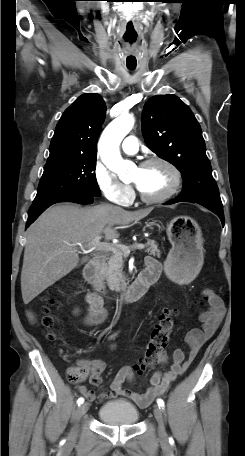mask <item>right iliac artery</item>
I'll return each mask as SVG.
<instances>
[{
  "instance_id": "82829eb1",
  "label": "right iliac artery",
  "mask_w": 245,
  "mask_h": 456,
  "mask_svg": "<svg viewBox=\"0 0 245 456\" xmlns=\"http://www.w3.org/2000/svg\"><path fill=\"white\" fill-rule=\"evenodd\" d=\"M84 403V398L83 397H80L78 400H77V404L80 406L81 404Z\"/></svg>"
}]
</instances>
